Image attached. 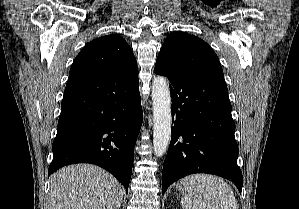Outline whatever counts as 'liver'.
I'll list each match as a JSON object with an SVG mask.
<instances>
[{"label":"liver","instance_id":"obj_1","mask_svg":"<svg viewBox=\"0 0 299 209\" xmlns=\"http://www.w3.org/2000/svg\"><path fill=\"white\" fill-rule=\"evenodd\" d=\"M50 183L48 209H118L123 200L122 185L91 164L64 167Z\"/></svg>","mask_w":299,"mask_h":209}]
</instances>
